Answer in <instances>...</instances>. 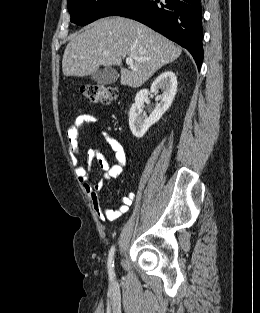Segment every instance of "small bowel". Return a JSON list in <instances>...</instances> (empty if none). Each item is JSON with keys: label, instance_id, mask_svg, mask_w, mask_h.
<instances>
[{"label": "small bowel", "instance_id": "1", "mask_svg": "<svg viewBox=\"0 0 260 313\" xmlns=\"http://www.w3.org/2000/svg\"><path fill=\"white\" fill-rule=\"evenodd\" d=\"M98 124H100V120L97 117L89 114H84L81 110H78L75 113L73 122L65 132V140L68 146V152L71 158L72 165L75 169V174L79 179V182L84 192L91 201L94 212L101 221H114L128 211L135 198V193L131 192L128 195L124 196L121 199V204L117 208H106L102 206L98 194L102 187V184L100 182L92 184L88 180L87 167L81 162L78 154V135L85 126ZM102 135L114 152L117 163L110 164L102 155L96 152H89L88 159L92 160L96 158L99 161V164L104 171L103 179H116L122 175L124 168L127 164L126 150L123 144L114 137H112L110 134H108V132L103 131Z\"/></svg>", "mask_w": 260, "mask_h": 313}]
</instances>
